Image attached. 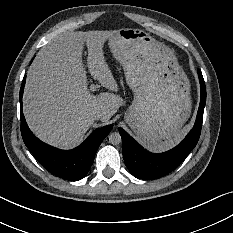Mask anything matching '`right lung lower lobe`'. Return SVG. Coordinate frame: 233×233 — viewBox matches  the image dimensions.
Listing matches in <instances>:
<instances>
[{
  "label": "right lung lower lobe",
  "instance_id": "98d812e1",
  "mask_svg": "<svg viewBox=\"0 0 233 233\" xmlns=\"http://www.w3.org/2000/svg\"><path fill=\"white\" fill-rule=\"evenodd\" d=\"M25 80L26 76L23 78L20 89L21 134L25 145L50 173L71 181L82 179L93 164L98 147L113 126L107 125L94 130L80 146L73 150H60L43 143L30 131L22 113Z\"/></svg>",
  "mask_w": 233,
  "mask_h": 233
}]
</instances>
